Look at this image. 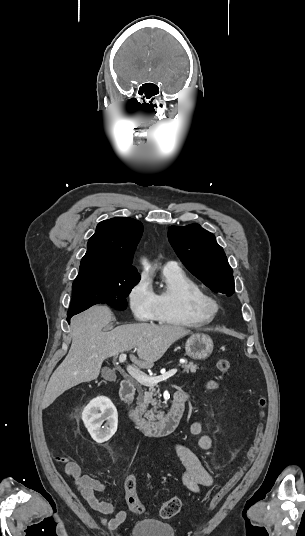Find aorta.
<instances>
[{
  "label": "aorta",
  "instance_id": "aorta-1",
  "mask_svg": "<svg viewBox=\"0 0 305 536\" xmlns=\"http://www.w3.org/2000/svg\"><path fill=\"white\" fill-rule=\"evenodd\" d=\"M145 268L147 269V268H148V265H146V267H145Z\"/></svg>",
  "mask_w": 305,
  "mask_h": 536
}]
</instances>
